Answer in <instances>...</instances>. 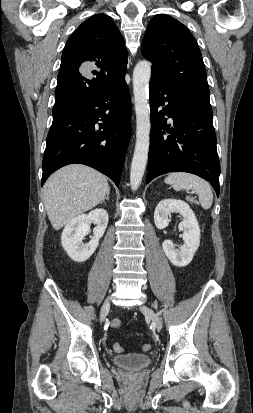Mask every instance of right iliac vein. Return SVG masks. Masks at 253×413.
Instances as JSON below:
<instances>
[{"mask_svg":"<svg viewBox=\"0 0 253 413\" xmlns=\"http://www.w3.org/2000/svg\"><path fill=\"white\" fill-rule=\"evenodd\" d=\"M109 309H110V299L108 298V299L105 300V302L103 303L102 308H101V312H100V320L101 321L104 320V318H105L107 312L109 311Z\"/></svg>","mask_w":253,"mask_h":413,"instance_id":"obj_1","label":"right iliac vein"}]
</instances>
